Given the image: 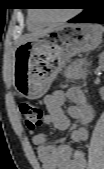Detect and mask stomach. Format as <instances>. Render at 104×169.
I'll list each match as a JSON object with an SVG mask.
<instances>
[{"label": "stomach", "instance_id": "0dacf381", "mask_svg": "<svg viewBox=\"0 0 104 169\" xmlns=\"http://www.w3.org/2000/svg\"><path fill=\"white\" fill-rule=\"evenodd\" d=\"M102 29L90 24H66L20 44L15 51L14 89L28 99L42 97L66 62L74 55L95 49Z\"/></svg>", "mask_w": 104, "mask_h": 169}]
</instances>
